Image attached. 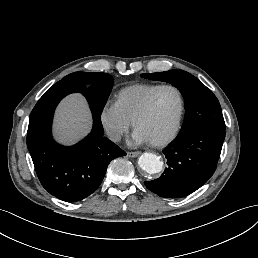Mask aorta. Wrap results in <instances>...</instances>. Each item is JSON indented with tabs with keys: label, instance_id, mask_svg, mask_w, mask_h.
I'll return each mask as SVG.
<instances>
[{
	"label": "aorta",
	"instance_id": "762f6f07",
	"mask_svg": "<svg viewBox=\"0 0 258 258\" xmlns=\"http://www.w3.org/2000/svg\"><path fill=\"white\" fill-rule=\"evenodd\" d=\"M140 168L147 174L159 173L163 168L160 157L154 153H144L139 158Z\"/></svg>",
	"mask_w": 258,
	"mask_h": 258
}]
</instances>
